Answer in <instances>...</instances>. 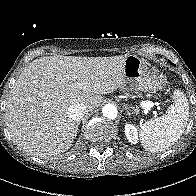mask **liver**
Instances as JSON below:
<instances>
[{
  "label": "liver",
  "instance_id": "liver-1",
  "mask_svg": "<svg viewBox=\"0 0 196 196\" xmlns=\"http://www.w3.org/2000/svg\"><path fill=\"white\" fill-rule=\"evenodd\" d=\"M125 56H50L25 67L6 101L7 129L26 153L45 158L68 150L78 133L68 115L75 103L88 111L103 94L125 86Z\"/></svg>",
  "mask_w": 196,
  "mask_h": 196
}]
</instances>
